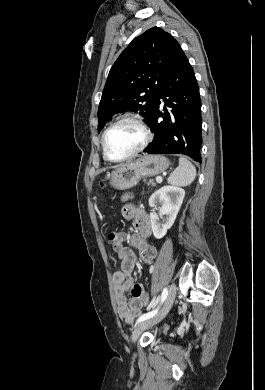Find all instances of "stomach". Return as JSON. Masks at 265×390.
<instances>
[{
	"label": "stomach",
	"instance_id": "obj_1",
	"mask_svg": "<svg viewBox=\"0 0 265 390\" xmlns=\"http://www.w3.org/2000/svg\"><path fill=\"white\" fill-rule=\"evenodd\" d=\"M169 167V160L161 155H145L127 163L108 175L113 188L126 190L135 186L143 177L161 174Z\"/></svg>",
	"mask_w": 265,
	"mask_h": 390
}]
</instances>
